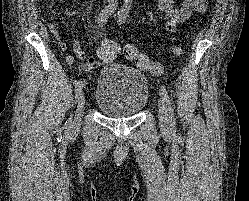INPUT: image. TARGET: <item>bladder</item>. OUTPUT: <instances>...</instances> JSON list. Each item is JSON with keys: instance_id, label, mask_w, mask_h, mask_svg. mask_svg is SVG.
I'll return each instance as SVG.
<instances>
[{"instance_id": "31cf9c89", "label": "bladder", "mask_w": 249, "mask_h": 201, "mask_svg": "<svg viewBox=\"0 0 249 201\" xmlns=\"http://www.w3.org/2000/svg\"><path fill=\"white\" fill-rule=\"evenodd\" d=\"M150 85L146 75L119 62H109L96 81V107L107 117L129 118L147 105Z\"/></svg>"}]
</instances>
